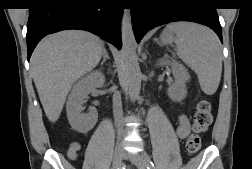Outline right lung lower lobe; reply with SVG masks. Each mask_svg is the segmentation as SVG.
Listing matches in <instances>:
<instances>
[{"instance_id":"obj_1","label":"right lung lower lobe","mask_w":252,"mask_h":169,"mask_svg":"<svg viewBox=\"0 0 252 169\" xmlns=\"http://www.w3.org/2000/svg\"><path fill=\"white\" fill-rule=\"evenodd\" d=\"M121 16L118 0H37L27 24L28 61L44 36L65 29L92 32L120 49Z\"/></svg>"}]
</instances>
